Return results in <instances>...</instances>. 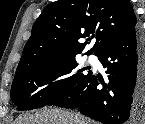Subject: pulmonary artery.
Segmentation results:
<instances>
[{
	"mask_svg": "<svg viewBox=\"0 0 145 124\" xmlns=\"http://www.w3.org/2000/svg\"><path fill=\"white\" fill-rule=\"evenodd\" d=\"M88 61H89L90 63H93V62L96 61V58H95L94 56H89V57H88Z\"/></svg>",
	"mask_w": 145,
	"mask_h": 124,
	"instance_id": "e3ab8cb5",
	"label": "pulmonary artery"
}]
</instances>
